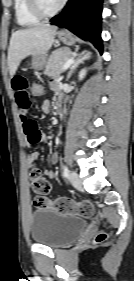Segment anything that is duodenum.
<instances>
[{
    "instance_id": "410a0bca",
    "label": "duodenum",
    "mask_w": 134,
    "mask_h": 281,
    "mask_svg": "<svg viewBox=\"0 0 134 281\" xmlns=\"http://www.w3.org/2000/svg\"><path fill=\"white\" fill-rule=\"evenodd\" d=\"M56 107L60 112L64 111L63 102H62V99L60 97L57 99Z\"/></svg>"
}]
</instances>
